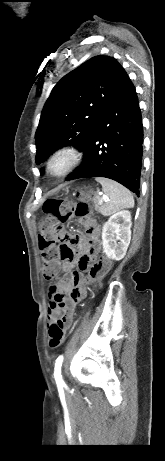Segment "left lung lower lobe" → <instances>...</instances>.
<instances>
[{"label":"left lung lower lobe","mask_w":165,"mask_h":461,"mask_svg":"<svg viewBox=\"0 0 165 461\" xmlns=\"http://www.w3.org/2000/svg\"><path fill=\"white\" fill-rule=\"evenodd\" d=\"M142 144V116L127 75L83 147V163L66 180L106 177L138 195Z\"/></svg>","instance_id":"0a47b994"}]
</instances>
